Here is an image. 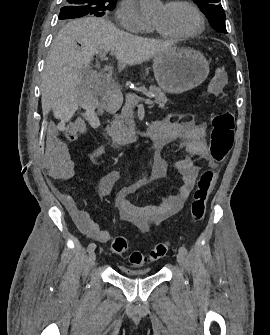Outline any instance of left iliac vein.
Returning <instances> with one entry per match:
<instances>
[{"instance_id":"left-iliac-vein-1","label":"left iliac vein","mask_w":270,"mask_h":335,"mask_svg":"<svg viewBox=\"0 0 270 335\" xmlns=\"http://www.w3.org/2000/svg\"><path fill=\"white\" fill-rule=\"evenodd\" d=\"M176 257H177V261H178L182 266H184V264H185V255L179 252V253L177 254Z\"/></svg>"}]
</instances>
